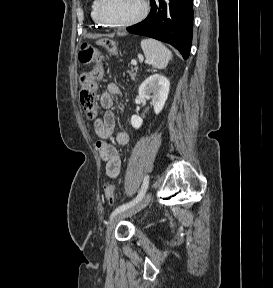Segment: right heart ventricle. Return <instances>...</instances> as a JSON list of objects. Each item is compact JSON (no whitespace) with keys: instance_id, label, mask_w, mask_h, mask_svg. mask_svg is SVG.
I'll list each match as a JSON object with an SVG mask.
<instances>
[{"instance_id":"right-heart-ventricle-1","label":"right heart ventricle","mask_w":273,"mask_h":288,"mask_svg":"<svg viewBox=\"0 0 273 288\" xmlns=\"http://www.w3.org/2000/svg\"><path fill=\"white\" fill-rule=\"evenodd\" d=\"M97 6H98V0H93L91 4V18L95 22L96 25H103V23L98 18Z\"/></svg>"}]
</instances>
